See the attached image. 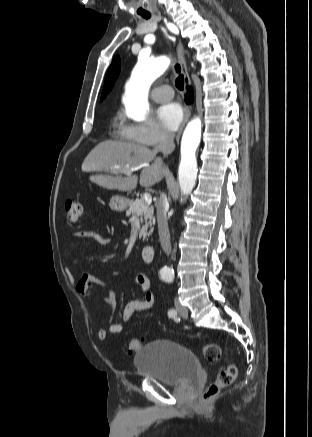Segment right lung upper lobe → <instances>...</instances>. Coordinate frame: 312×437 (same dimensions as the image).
Segmentation results:
<instances>
[{"mask_svg":"<svg viewBox=\"0 0 312 437\" xmlns=\"http://www.w3.org/2000/svg\"><path fill=\"white\" fill-rule=\"evenodd\" d=\"M119 72H120V58L116 56L113 59L111 66L108 70L101 99L105 98L107 93L112 89V86L114 85L115 80L119 75Z\"/></svg>","mask_w":312,"mask_h":437,"instance_id":"cb5924a9","label":"right lung upper lobe"}]
</instances>
